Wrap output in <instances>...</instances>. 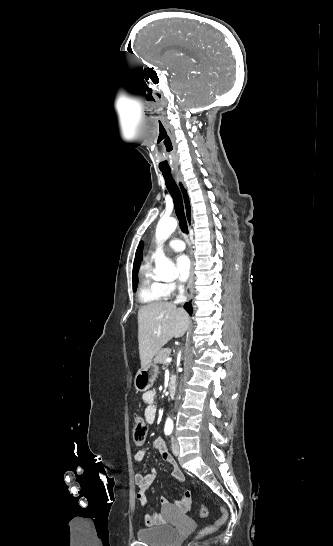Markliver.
Instances as JSON below:
<instances>
[{
  "mask_svg": "<svg viewBox=\"0 0 333 546\" xmlns=\"http://www.w3.org/2000/svg\"><path fill=\"white\" fill-rule=\"evenodd\" d=\"M188 314L172 302H156L138 311V342L141 368L147 367L158 351L172 338L184 335Z\"/></svg>",
  "mask_w": 333,
  "mask_h": 546,
  "instance_id": "liver-1",
  "label": "liver"
}]
</instances>
